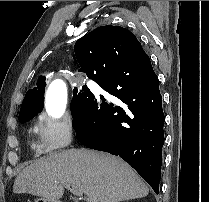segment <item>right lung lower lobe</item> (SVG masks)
Here are the masks:
<instances>
[{
	"label": "right lung lower lobe",
	"mask_w": 209,
	"mask_h": 202,
	"mask_svg": "<svg viewBox=\"0 0 209 202\" xmlns=\"http://www.w3.org/2000/svg\"><path fill=\"white\" fill-rule=\"evenodd\" d=\"M139 63L142 70L130 73L123 83L112 77L96 82L114 97L107 101L93 95L83 112L73 117L72 126L80 143L121 157L158 194L165 116L150 58Z\"/></svg>",
	"instance_id": "right-lung-lower-lobe-1"
}]
</instances>
